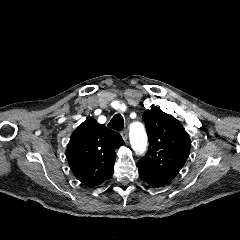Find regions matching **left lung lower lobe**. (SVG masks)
I'll return each instance as SVG.
<instances>
[{"label": "left lung lower lobe", "instance_id": "1", "mask_svg": "<svg viewBox=\"0 0 240 240\" xmlns=\"http://www.w3.org/2000/svg\"><path fill=\"white\" fill-rule=\"evenodd\" d=\"M140 177L150 186L154 188H159L167 185L171 180L158 175L154 171L150 170L148 167L137 164Z\"/></svg>", "mask_w": 240, "mask_h": 240}]
</instances>
